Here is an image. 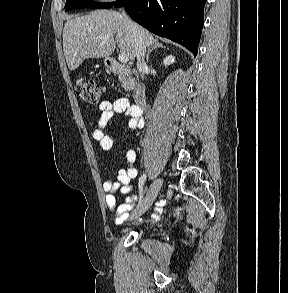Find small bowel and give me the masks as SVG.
I'll return each instance as SVG.
<instances>
[{
	"label": "small bowel",
	"mask_w": 288,
	"mask_h": 293,
	"mask_svg": "<svg viewBox=\"0 0 288 293\" xmlns=\"http://www.w3.org/2000/svg\"><path fill=\"white\" fill-rule=\"evenodd\" d=\"M98 108L101 112L97 121V126L92 132V139L99 144L102 151L107 152L113 147V136L106 133L105 129L110 120L116 114L124 113L129 117L128 126L130 129H140L144 125L142 118V110L136 105H131L126 98H119L113 102L102 101ZM137 154L133 149H129L124 158V167L116 171L115 178L107 179L103 183V191L105 192V202L110 211L116 215L114 223L122 224L130 216L137 197L135 195L128 196L125 202L116 206V198L114 193L119 192L127 194L131 190V181L137 176L135 167ZM160 207L156 209L154 220L158 219L157 214L160 212Z\"/></svg>",
	"instance_id": "c3829d8e"
}]
</instances>
